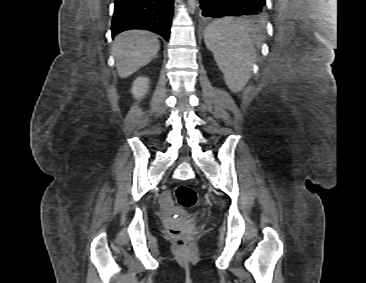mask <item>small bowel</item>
Wrapping results in <instances>:
<instances>
[{
    "label": "small bowel",
    "mask_w": 366,
    "mask_h": 283,
    "mask_svg": "<svg viewBox=\"0 0 366 283\" xmlns=\"http://www.w3.org/2000/svg\"><path fill=\"white\" fill-rule=\"evenodd\" d=\"M160 200L164 207H169L171 204V199L168 192H163L160 196Z\"/></svg>",
    "instance_id": "c3829d8e"
}]
</instances>
